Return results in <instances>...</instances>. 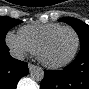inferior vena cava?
I'll return each instance as SVG.
<instances>
[{
    "label": "inferior vena cava",
    "instance_id": "obj_1",
    "mask_svg": "<svg viewBox=\"0 0 89 89\" xmlns=\"http://www.w3.org/2000/svg\"><path fill=\"white\" fill-rule=\"evenodd\" d=\"M10 54L15 59L24 60V55L19 51L12 50Z\"/></svg>",
    "mask_w": 89,
    "mask_h": 89
}]
</instances>
